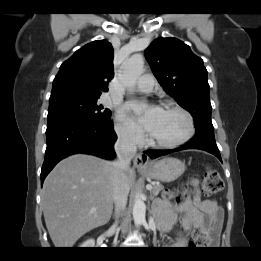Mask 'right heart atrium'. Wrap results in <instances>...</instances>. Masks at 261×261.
I'll use <instances>...</instances> for the list:
<instances>
[{
  "label": "right heart atrium",
  "mask_w": 261,
  "mask_h": 261,
  "mask_svg": "<svg viewBox=\"0 0 261 261\" xmlns=\"http://www.w3.org/2000/svg\"><path fill=\"white\" fill-rule=\"evenodd\" d=\"M115 131L119 139L127 145H136L142 140L140 131L118 111L115 116Z\"/></svg>",
  "instance_id": "right-heart-atrium-1"
}]
</instances>
